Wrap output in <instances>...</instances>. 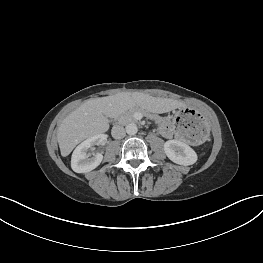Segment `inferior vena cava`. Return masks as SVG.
<instances>
[{"label": "inferior vena cava", "instance_id": "602c4592", "mask_svg": "<svg viewBox=\"0 0 263 263\" xmlns=\"http://www.w3.org/2000/svg\"><path fill=\"white\" fill-rule=\"evenodd\" d=\"M111 135L115 139H122L125 137L126 132L122 126H115L111 130Z\"/></svg>", "mask_w": 263, "mask_h": 263}]
</instances>
